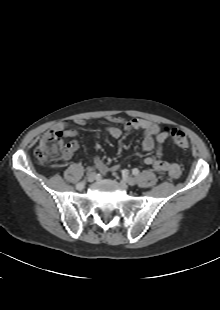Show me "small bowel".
Instances as JSON below:
<instances>
[{"mask_svg": "<svg viewBox=\"0 0 220 310\" xmlns=\"http://www.w3.org/2000/svg\"><path fill=\"white\" fill-rule=\"evenodd\" d=\"M108 120L122 126V128L118 126H110L108 128L110 136L114 139L120 138L123 130L142 131V150L144 152L154 151L152 156L145 157L142 160L144 165L152 166L157 172L168 174L172 178H178L180 176L181 167L179 164L162 160L163 144L170 138V135L159 124L141 118L126 120L121 117H108ZM75 123L79 126H84L85 120L76 119ZM54 129L62 131L65 138H75L78 135V131L74 128H69L68 123L65 121L57 123ZM67 147L68 153L65 157L68 159L77 151L79 143L77 140H71L67 144ZM94 163L97 169L103 174L116 169V167L106 165L100 157H96Z\"/></svg>", "mask_w": 220, "mask_h": 310, "instance_id": "1", "label": "small bowel"}]
</instances>
